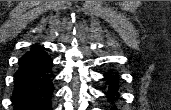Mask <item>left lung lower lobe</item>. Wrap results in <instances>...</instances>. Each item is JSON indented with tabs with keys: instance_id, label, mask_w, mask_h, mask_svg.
Masks as SVG:
<instances>
[{
	"instance_id": "obj_1",
	"label": "left lung lower lobe",
	"mask_w": 171,
	"mask_h": 110,
	"mask_svg": "<svg viewBox=\"0 0 171 110\" xmlns=\"http://www.w3.org/2000/svg\"><path fill=\"white\" fill-rule=\"evenodd\" d=\"M117 72H114L112 70L108 71L104 74L106 79V89L105 94L108 98V102L111 104V108L109 110H119L115 106L116 101L119 98V77L117 76Z\"/></svg>"
}]
</instances>
